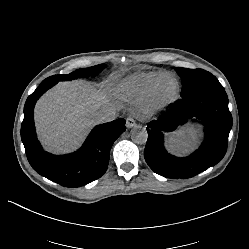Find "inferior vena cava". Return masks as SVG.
I'll return each instance as SVG.
<instances>
[{
  "instance_id": "inferior-vena-cava-1",
  "label": "inferior vena cava",
  "mask_w": 249,
  "mask_h": 249,
  "mask_svg": "<svg viewBox=\"0 0 249 249\" xmlns=\"http://www.w3.org/2000/svg\"><path fill=\"white\" fill-rule=\"evenodd\" d=\"M117 117L116 109L112 106L104 107L95 113L96 121L99 123L110 122Z\"/></svg>"
}]
</instances>
